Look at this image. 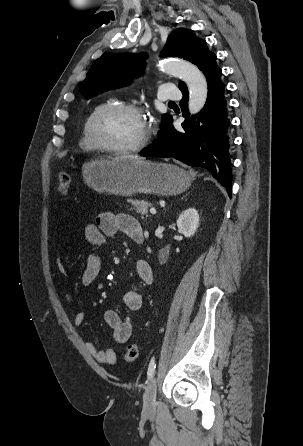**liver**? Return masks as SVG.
Instances as JSON below:
<instances>
[{
  "label": "liver",
  "mask_w": 303,
  "mask_h": 446,
  "mask_svg": "<svg viewBox=\"0 0 303 446\" xmlns=\"http://www.w3.org/2000/svg\"><path fill=\"white\" fill-rule=\"evenodd\" d=\"M123 158H129V159H135V160H139V159H141V158H139V157L136 156V155H125V156H120V157H118V158H116V159H123Z\"/></svg>",
  "instance_id": "liver-1"
}]
</instances>
